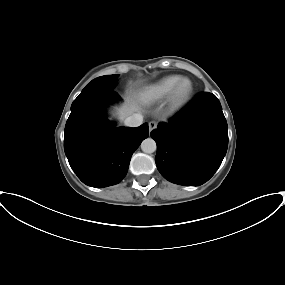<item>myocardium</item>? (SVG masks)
Segmentation results:
<instances>
[{"mask_svg":"<svg viewBox=\"0 0 285 285\" xmlns=\"http://www.w3.org/2000/svg\"><path fill=\"white\" fill-rule=\"evenodd\" d=\"M185 83L189 84V88L187 91L183 92L182 87ZM194 94V84L189 78H182L178 84L173 89L172 93L169 96V108L172 111H177L183 107H185L190 100L192 99Z\"/></svg>","mask_w":285,"mask_h":285,"instance_id":"myocardium-1","label":"myocardium"}]
</instances>
